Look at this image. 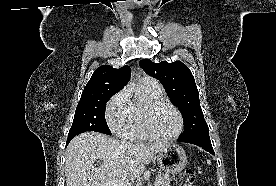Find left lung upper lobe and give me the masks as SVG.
Segmentation results:
<instances>
[{"instance_id":"5c2ea615","label":"left lung upper lobe","mask_w":276,"mask_h":186,"mask_svg":"<svg viewBox=\"0 0 276 186\" xmlns=\"http://www.w3.org/2000/svg\"><path fill=\"white\" fill-rule=\"evenodd\" d=\"M141 68L150 76L158 79L173 104L184 116V132L181 138L200 133H209L199 101V92L190 69L180 61L154 63L144 59Z\"/></svg>"}]
</instances>
